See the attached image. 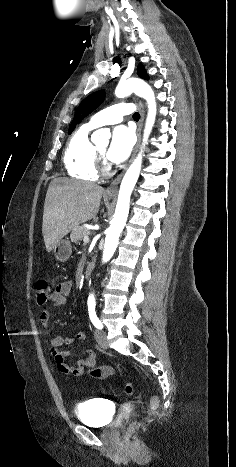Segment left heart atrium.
Wrapping results in <instances>:
<instances>
[{
    "instance_id": "39dd6f15",
    "label": "left heart atrium",
    "mask_w": 236,
    "mask_h": 467,
    "mask_svg": "<svg viewBox=\"0 0 236 467\" xmlns=\"http://www.w3.org/2000/svg\"><path fill=\"white\" fill-rule=\"evenodd\" d=\"M133 131L124 126H117L113 130L112 140L107 152L108 158L115 163L123 162L130 155L134 145Z\"/></svg>"
}]
</instances>
